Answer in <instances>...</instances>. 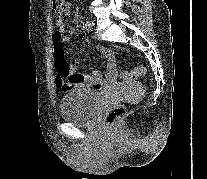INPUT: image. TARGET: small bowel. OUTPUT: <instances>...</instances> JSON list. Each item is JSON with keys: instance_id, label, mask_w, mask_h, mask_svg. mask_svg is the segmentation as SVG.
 <instances>
[{"instance_id": "obj_1", "label": "small bowel", "mask_w": 207, "mask_h": 179, "mask_svg": "<svg viewBox=\"0 0 207 179\" xmlns=\"http://www.w3.org/2000/svg\"><path fill=\"white\" fill-rule=\"evenodd\" d=\"M71 13V7L68 5V9L66 11V15ZM58 30L63 34L65 32V21L63 18H59L57 20ZM66 41L67 38H64ZM96 53L106 59V70L105 73H101L99 71H93L90 73H78L74 68V64L78 63V61L74 60L71 68V73L79 76L80 80L75 84L77 88H90L94 90H102L106 89L117 82L118 72H117V56L114 51L111 49L96 45L94 47Z\"/></svg>"}]
</instances>
